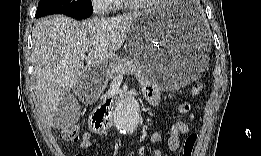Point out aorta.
Returning <instances> with one entry per match:
<instances>
[{
	"mask_svg": "<svg viewBox=\"0 0 261 156\" xmlns=\"http://www.w3.org/2000/svg\"><path fill=\"white\" fill-rule=\"evenodd\" d=\"M114 125L123 135H131L137 131L140 125V107L134 98H125L117 105Z\"/></svg>",
	"mask_w": 261,
	"mask_h": 156,
	"instance_id": "762f6f07",
	"label": "aorta"
}]
</instances>
